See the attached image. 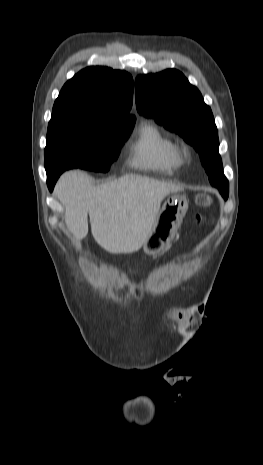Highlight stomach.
Masks as SVG:
<instances>
[{
	"mask_svg": "<svg viewBox=\"0 0 263 465\" xmlns=\"http://www.w3.org/2000/svg\"><path fill=\"white\" fill-rule=\"evenodd\" d=\"M187 210L188 201L182 195L172 194L165 200L143 243L146 254L156 255L170 243Z\"/></svg>",
	"mask_w": 263,
	"mask_h": 465,
	"instance_id": "obj_1",
	"label": "stomach"
}]
</instances>
